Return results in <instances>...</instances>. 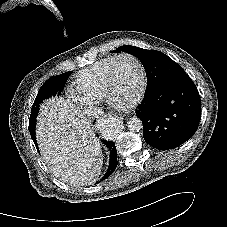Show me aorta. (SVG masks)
<instances>
[{"instance_id": "762f6f07", "label": "aorta", "mask_w": 227, "mask_h": 227, "mask_svg": "<svg viewBox=\"0 0 227 227\" xmlns=\"http://www.w3.org/2000/svg\"><path fill=\"white\" fill-rule=\"evenodd\" d=\"M118 121L115 118H108L105 121L104 129L108 134H113L117 131ZM127 127L130 131H140L142 129V121L137 117H132L127 121Z\"/></svg>"}]
</instances>
